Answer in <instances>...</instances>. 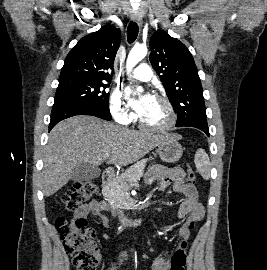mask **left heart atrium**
I'll list each match as a JSON object with an SVG mask.
<instances>
[{
	"label": "left heart atrium",
	"instance_id": "39dd6f15",
	"mask_svg": "<svg viewBox=\"0 0 267 270\" xmlns=\"http://www.w3.org/2000/svg\"><path fill=\"white\" fill-rule=\"evenodd\" d=\"M126 96L129 100L130 105L134 108V110L139 114H143L148 106L152 103L155 99L154 96L150 93H146L143 97L139 99L132 98V89L126 88L125 89Z\"/></svg>",
	"mask_w": 267,
	"mask_h": 270
}]
</instances>
